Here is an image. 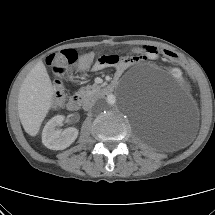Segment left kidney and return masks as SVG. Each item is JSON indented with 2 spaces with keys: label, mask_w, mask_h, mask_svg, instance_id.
I'll use <instances>...</instances> for the list:
<instances>
[{
  "label": "left kidney",
  "mask_w": 215,
  "mask_h": 215,
  "mask_svg": "<svg viewBox=\"0 0 215 215\" xmlns=\"http://www.w3.org/2000/svg\"><path fill=\"white\" fill-rule=\"evenodd\" d=\"M173 75L175 78H177V82L179 85L184 86L187 84L188 79L186 76H184V72L182 69L180 68L175 69Z\"/></svg>",
  "instance_id": "5707ae66"
}]
</instances>
